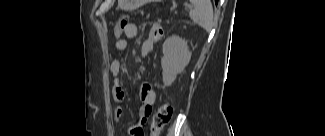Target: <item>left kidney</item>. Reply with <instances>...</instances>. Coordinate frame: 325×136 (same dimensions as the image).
Here are the masks:
<instances>
[{
  "label": "left kidney",
  "instance_id": "1",
  "mask_svg": "<svg viewBox=\"0 0 325 136\" xmlns=\"http://www.w3.org/2000/svg\"><path fill=\"white\" fill-rule=\"evenodd\" d=\"M162 51L163 83L165 86H170L177 78V75L184 72L185 67L190 62L192 53L189 51L187 41L178 35L167 38Z\"/></svg>",
  "mask_w": 325,
  "mask_h": 136
}]
</instances>
